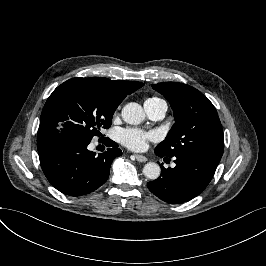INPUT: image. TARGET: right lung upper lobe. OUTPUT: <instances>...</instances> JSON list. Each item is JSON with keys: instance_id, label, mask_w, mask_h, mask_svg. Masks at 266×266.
Masks as SVG:
<instances>
[{"instance_id": "right-lung-upper-lobe-1", "label": "right lung upper lobe", "mask_w": 266, "mask_h": 266, "mask_svg": "<svg viewBox=\"0 0 266 266\" xmlns=\"http://www.w3.org/2000/svg\"><path fill=\"white\" fill-rule=\"evenodd\" d=\"M111 82L117 90L127 95L134 92L135 90L139 89L140 87L144 85L141 82H134V81L113 80ZM45 145L46 144L37 145L38 150L42 149Z\"/></svg>"}]
</instances>
